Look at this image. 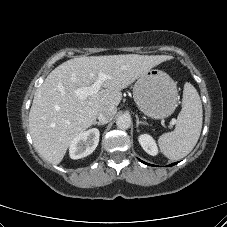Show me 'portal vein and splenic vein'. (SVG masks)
<instances>
[{"mask_svg":"<svg viewBox=\"0 0 227 227\" xmlns=\"http://www.w3.org/2000/svg\"><path fill=\"white\" fill-rule=\"evenodd\" d=\"M107 79H110V76L104 73H99L97 80L92 85L80 87L75 90V93L80 99H85L89 95L96 94L101 89L103 82ZM175 122V120H172L171 124L174 125Z\"/></svg>","mask_w":227,"mask_h":227,"instance_id":"18ae733b","label":"portal vein and splenic vein"}]
</instances>
